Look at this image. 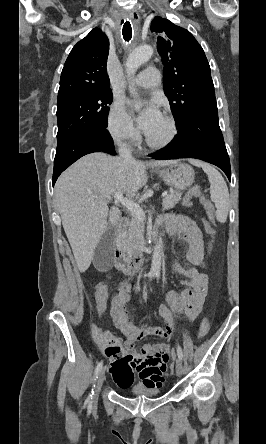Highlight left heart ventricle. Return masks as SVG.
I'll return each mask as SVG.
<instances>
[{
    "instance_id": "b2bd125f",
    "label": "left heart ventricle",
    "mask_w": 266,
    "mask_h": 444,
    "mask_svg": "<svg viewBox=\"0 0 266 444\" xmlns=\"http://www.w3.org/2000/svg\"><path fill=\"white\" fill-rule=\"evenodd\" d=\"M170 133V126L164 116L146 133L153 141L161 142L167 138Z\"/></svg>"
}]
</instances>
